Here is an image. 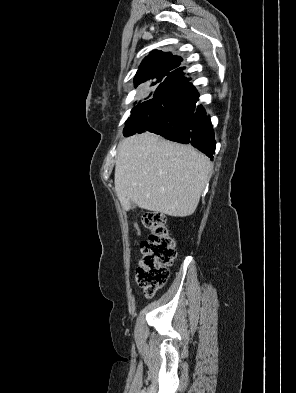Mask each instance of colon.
<instances>
[{
	"mask_svg": "<svg viewBox=\"0 0 296 393\" xmlns=\"http://www.w3.org/2000/svg\"><path fill=\"white\" fill-rule=\"evenodd\" d=\"M141 219L149 231V237L140 243L141 257L136 278L145 294L152 296L168 279V267L176 256L175 241L169 234L166 217L162 213L147 211Z\"/></svg>",
	"mask_w": 296,
	"mask_h": 393,
	"instance_id": "5ec220e1",
	"label": "colon"
}]
</instances>
